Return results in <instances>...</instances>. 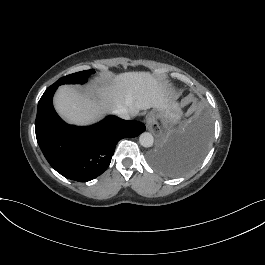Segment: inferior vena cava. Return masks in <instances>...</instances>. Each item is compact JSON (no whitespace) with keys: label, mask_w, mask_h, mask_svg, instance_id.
<instances>
[{"label":"inferior vena cava","mask_w":265,"mask_h":265,"mask_svg":"<svg viewBox=\"0 0 265 265\" xmlns=\"http://www.w3.org/2000/svg\"><path fill=\"white\" fill-rule=\"evenodd\" d=\"M112 112L116 114L118 117L125 119V120H130L131 118L130 112L126 108L121 107V106L113 109Z\"/></svg>","instance_id":"602c4592"}]
</instances>
